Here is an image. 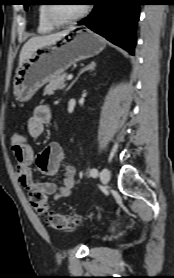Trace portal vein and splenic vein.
Segmentation results:
<instances>
[{
    "label": "portal vein and splenic vein",
    "mask_w": 174,
    "mask_h": 278,
    "mask_svg": "<svg viewBox=\"0 0 174 278\" xmlns=\"http://www.w3.org/2000/svg\"><path fill=\"white\" fill-rule=\"evenodd\" d=\"M73 78V75H68L67 80L70 81Z\"/></svg>",
    "instance_id": "obj_1"
}]
</instances>
